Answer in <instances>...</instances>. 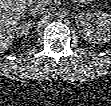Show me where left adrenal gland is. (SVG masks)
Masks as SVG:
<instances>
[{
  "label": "left adrenal gland",
  "mask_w": 111,
  "mask_h": 106,
  "mask_svg": "<svg viewBox=\"0 0 111 106\" xmlns=\"http://www.w3.org/2000/svg\"><path fill=\"white\" fill-rule=\"evenodd\" d=\"M77 6L83 7V5H77Z\"/></svg>",
  "instance_id": "left-adrenal-gland-1"
}]
</instances>
